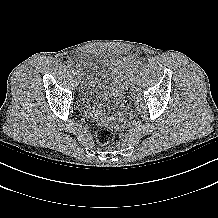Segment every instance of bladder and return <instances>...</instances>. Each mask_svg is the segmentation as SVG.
Returning <instances> with one entry per match:
<instances>
[{
    "label": "bladder",
    "instance_id": "1",
    "mask_svg": "<svg viewBox=\"0 0 218 218\" xmlns=\"http://www.w3.org/2000/svg\"><path fill=\"white\" fill-rule=\"evenodd\" d=\"M75 67L79 72V98L83 107L106 111L120 98L124 82L133 72L134 61L129 57L80 52Z\"/></svg>",
    "mask_w": 218,
    "mask_h": 218
}]
</instances>
